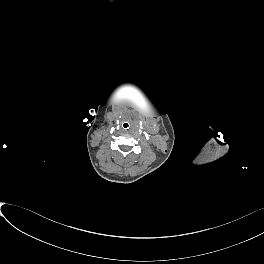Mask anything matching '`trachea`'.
Masks as SVG:
<instances>
[{
	"instance_id": "obj_1",
	"label": "trachea",
	"mask_w": 264,
	"mask_h": 264,
	"mask_svg": "<svg viewBox=\"0 0 264 264\" xmlns=\"http://www.w3.org/2000/svg\"><path fill=\"white\" fill-rule=\"evenodd\" d=\"M122 128H123L124 130L129 129V128H130V123L127 122V121H125V122L122 124Z\"/></svg>"
}]
</instances>
